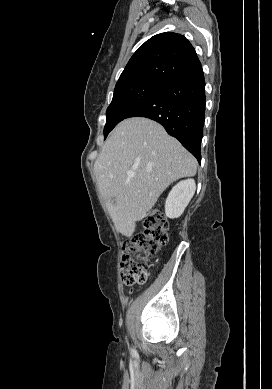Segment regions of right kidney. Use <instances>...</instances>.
I'll return each mask as SVG.
<instances>
[{"mask_svg":"<svg viewBox=\"0 0 272 389\" xmlns=\"http://www.w3.org/2000/svg\"><path fill=\"white\" fill-rule=\"evenodd\" d=\"M196 190L193 179L177 183L170 191L165 202V214L170 219L179 218L189 204Z\"/></svg>","mask_w":272,"mask_h":389,"instance_id":"obj_1","label":"right kidney"}]
</instances>
